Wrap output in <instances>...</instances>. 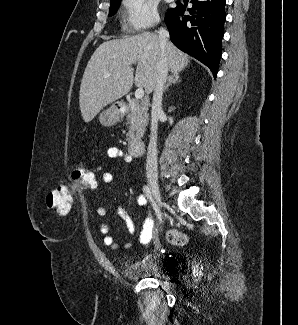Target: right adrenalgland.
I'll list each match as a JSON object with an SVG mask.
<instances>
[{"label":"right adrenal gland","instance_id":"right-adrenal-gland-1","mask_svg":"<svg viewBox=\"0 0 298 325\" xmlns=\"http://www.w3.org/2000/svg\"><path fill=\"white\" fill-rule=\"evenodd\" d=\"M179 78V72H171L170 76H168V82L164 86V90H167L168 86H170L172 82H178Z\"/></svg>","mask_w":298,"mask_h":325}]
</instances>
